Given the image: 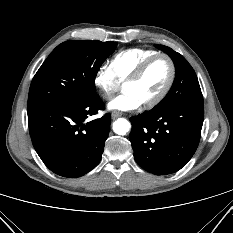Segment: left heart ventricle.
<instances>
[{
    "label": "left heart ventricle",
    "instance_id": "obj_1",
    "mask_svg": "<svg viewBox=\"0 0 233 233\" xmlns=\"http://www.w3.org/2000/svg\"><path fill=\"white\" fill-rule=\"evenodd\" d=\"M169 76L168 61L165 58H159L149 65L137 82L125 85L123 89L134 93L142 103H145L161 93Z\"/></svg>",
    "mask_w": 233,
    "mask_h": 233
}]
</instances>
